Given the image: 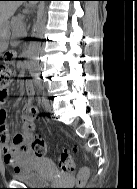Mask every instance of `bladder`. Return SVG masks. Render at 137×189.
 <instances>
[{
	"label": "bladder",
	"instance_id": "obj_1",
	"mask_svg": "<svg viewBox=\"0 0 137 189\" xmlns=\"http://www.w3.org/2000/svg\"><path fill=\"white\" fill-rule=\"evenodd\" d=\"M57 175L55 162L48 157H40L34 165H27L19 172L13 173V178L28 185L40 186L47 184Z\"/></svg>",
	"mask_w": 137,
	"mask_h": 189
}]
</instances>
